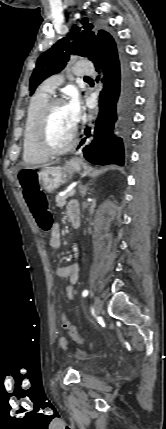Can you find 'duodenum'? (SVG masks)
I'll list each match as a JSON object with an SVG mask.
<instances>
[{
  "label": "duodenum",
  "mask_w": 166,
  "mask_h": 429,
  "mask_svg": "<svg viewBox=\"0 0 166 429\" xmlns=\"http://www.w3.org/2000/svg\"><path fill=\"white\" fill-rule=\"evenodd\" d=\"M69 216H70L72 226L74 228H78L80 225V214H79V212L71 211Z\"/></svg>",
  "instance_id": "obj_1"
}]
</instances>
